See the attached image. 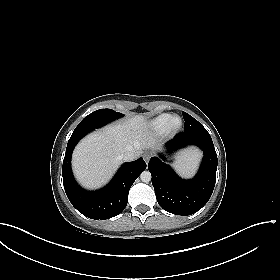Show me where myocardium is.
<instances>
[{"label":"myocardium","mask_w":280,"mask_h":280,"mask_svg":"<svg viewBox=\"0 0 280 280\" xmlns=\"http://www.w3.org/2000/svg\"><path fill=\"white\" fill-rule=\"evenodd\" d=\"M175 119L179 120V124L177 126L173 125V121ZM182 127H183L182 118L178 115H173V116H171V118L169 119V121L166 125L165 133L168 134V135H175V134L180 132Z\"/></svg>","instance_id":"f54148a6"}]
</instances>
